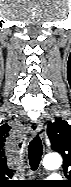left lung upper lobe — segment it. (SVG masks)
I'll return each instance as SVG.
<instances>
[{"label":"left lung upper lobe","mask_w":71,"mask_h":187,"mask_svg":"<svg viewBox=\"0 0 71 187\" xmlns=\"http://www.w3.org/2000/svg\"><path fill=\"white\" fill-rule=\"evenodd\" d=\"M47 135L51 148L63 156L65 175L69 174L71 177V125L64 120L56 119L53 123L48 124Z\"/></svg>","instance_id":"1"}]
</instances>
